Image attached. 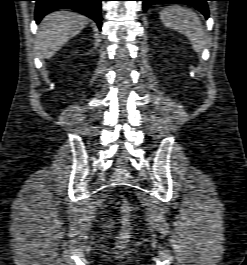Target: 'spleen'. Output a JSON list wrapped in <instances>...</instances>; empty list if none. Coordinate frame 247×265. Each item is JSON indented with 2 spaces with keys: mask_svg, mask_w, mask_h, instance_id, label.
Returning <instances> with one entry per match:
<instances>
[{
  "mask_svg": "<svg viewBox=\"0 0 247 265\" xmlns=\"http://www.w3.org/2000/svg\"><path fill=\"white\" fill-rule=\"evenodd\" d=\"M164 25L185 35L196 52H201L205 45V31L197 14L190 9L174 5L160 12Z\"/></svg>",
  "mask_w": 247,
  "mask_h": 265,
  "instance_id": "1",
  "label": "spleen"
}]
</instances>
